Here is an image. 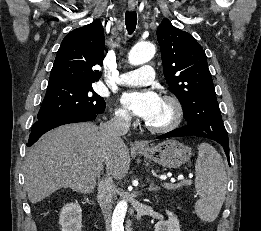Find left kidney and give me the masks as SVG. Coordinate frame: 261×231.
Returning <instances> with one entry per match:
<instances>
[{
  "label": "left kidney",
  "instance_id": "left-kidney-1",
  "mask_svg": "<svg viewBox=\"0 0 261 231\" xmlns=\"http://www.w3.org/2000/svg\"><path fill=\"white\" fill-rule=\"evenodd\" d=\"M168 220L160 221L155 225V231H180V224L177 216L167 210Z\"/></svg>",
  "mask_w": 261,
  "mask_h": 231
}]
</instances>
